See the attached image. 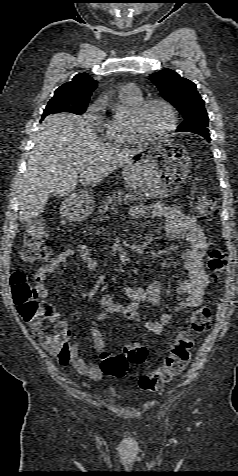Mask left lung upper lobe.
I'll return each mask as SVG.
<instances>
[{"label": "left lung upper lobe", "instance_id": "1", "mask_svg": "<svg viewBox=\"0 0 238 476\" xmlns=\"http://www.w3.org/2000/svg\"><path fill=\"white\" fill-rule=\"evenodd\" d=\"M150 77L162 97L182 114L184 122L178 126L177 131L209 133L205 103L192 81L168 68L155 72Z\"/></svg>", "mask_w": 238, "mask_h": 476}]
</instances>
